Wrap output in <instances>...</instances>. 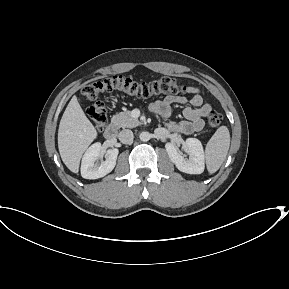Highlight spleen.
<instances>
[{
	"label": "spleen",
	"mask_w": 289,
	"mask_h": 289,
	"mask_svg": "<svg viewBox=\"0 0 289 289\" xmlns=\"http://www.w3.org/2000/svg\"><path fill=\"white\" fill-rule=\"evenodd\" d=\"M230 146V133L226 126L217 129L205 148L206 167L210 174L215 173L224 162Z\"/></svg>",
	"instance_id": "obj_1"
}]
</instances>
